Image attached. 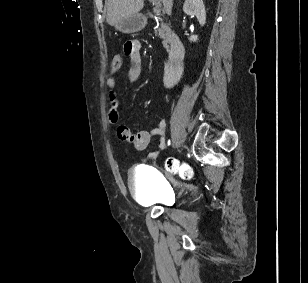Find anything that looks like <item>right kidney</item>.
<instances>
[{
	"label": "right kidney",
	"mask_w": 308,
	"mask_h": 283,
	"mask_svg": "<svg viewBox=\"0 0 308 283\" xmlns=\"http://www.w3.org/2000/svg\"><path fill=\"white\" fill-rule=\"evenodd\" d=\"M183 11L187 15L196 16L201 26L205 25L206 11L203 0H185L183 5ZM197 40L198 37L194 35L189 38L190 42H196Z\"/></svg>",
	"instance_id": "obj_1"
}]
</instances>
